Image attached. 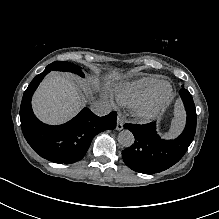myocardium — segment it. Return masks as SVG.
I'll return each mask as SVG.
<instances>
[{
    "label": "myocardium",
    "mask_w": 219,
    "mask_h": 219,
    "mask_svg": "<svg viewBox=\"0 0 219 219\" xmlns=\"http://www.w3.org/2000/svg\"><path fill=\"white\" fill-rule=\"evenodd\" d=\"M165 87V90H161ZM173 96V88L169 83L162 82L145 97L136 107V115L143 119H151L157 115Z\"/></svg>",
    "instance_id": "obj_1"
}]
</instances>
